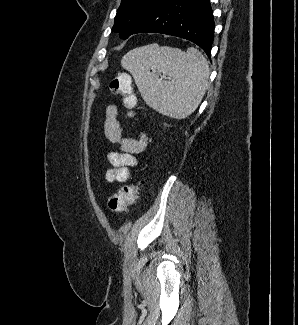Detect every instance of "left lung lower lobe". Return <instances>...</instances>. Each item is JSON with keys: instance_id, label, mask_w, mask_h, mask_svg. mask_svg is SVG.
<instances>
[{"instance_id": "0a47b994", "label": "left lung lower lobe", "mask_w": 298, "mask_h": 325, "mask_svg": "<svg viewBox=\"0 0 298 325\" xmlns=\"http://www.w3.org/2000/svg\"><path fill=\"white\" fill-rule=\"evenodd\" d=\"M145 32L187 39L200 46L210 58L214 39L210 0H164L132 34Z\"/></svg>"}]
</instances>
